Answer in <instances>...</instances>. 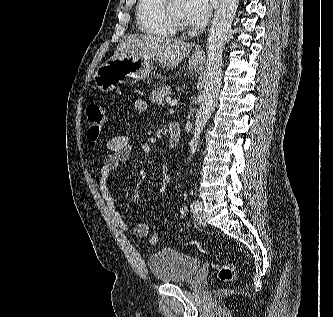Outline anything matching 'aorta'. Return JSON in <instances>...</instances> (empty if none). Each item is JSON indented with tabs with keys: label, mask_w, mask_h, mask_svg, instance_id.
I'll return each mask as SVG.
<instances>
[{
	"label": "aorta",
	"mask_w": 333,
	"mask_h": 317,
	"mask_svg": "<svg viewBox=\"0 0 333 317\" xmlns=\"http://www.w3.org/2000/svg\"><path fill=\"white\" fill-rule=\"evenodd\" d=\"M238 5L239 0H220L209 29L205 88L190 142L191 157L196 153L200 135L217 104L222 82V53Z\"/></svg>",
	"instance_id": "aorta-1"
}]
</instances>
